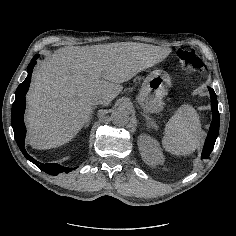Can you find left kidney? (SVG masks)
<instances>
[{"mask_svg":"<svg viewBox=\"0 0 236 236\" xmlns=\"http://www.w3.org/2000/svg\"><path fill=\"white\" fill-rule=\"evenodd\" d=\"M138 148L146 164L156 166L164 163L165 159L159 142L152 137L146 134L140 135L138 137Z\"/></svg>","mask_w":236,"mask_h":236,"instance_id":"5707ae66","label":"left kidney"}]
</instances>
